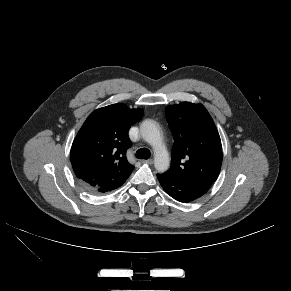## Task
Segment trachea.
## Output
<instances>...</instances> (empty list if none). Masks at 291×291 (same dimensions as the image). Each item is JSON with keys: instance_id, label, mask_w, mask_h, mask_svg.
I'll return each instance as SVG.
<instances>
[{"instance_id": "3493384b", "label": "trachea", "mask_w": 291, "mask_h": 291, "mask_svg": "<svg viewBox=\"0 0 291 291\" xmlns=\"http://www.w3.org/2000/svg\"><path fill=\"white\" fill-rule=\"evenodd\" d=\"M150 151L147 148H141L139 150H137L136 152V157L138 159H149L150 158Z\"/></svg>"}]
</instances>
